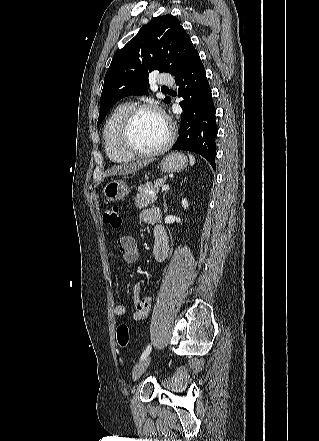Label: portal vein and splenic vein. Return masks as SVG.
Returning <instances> with one entry per match:
<instances>
[{"mask_svg":"<svg viewBox=\"0 0 319 441\" xmlns=\"http://www.w3.org/2000/svg\"><path fill=\"white\" fill-rule=\"evenodd\" d=\"M168 188H169L168 185H164V186H162V191H166V190H168Z\"/></svg>","mask_w":319,"mask_h":441,"instance_id":"portal-vein-and-splenic-vein-1","label":"portal vein and splenic vein"}]
</instances>
